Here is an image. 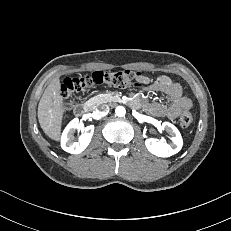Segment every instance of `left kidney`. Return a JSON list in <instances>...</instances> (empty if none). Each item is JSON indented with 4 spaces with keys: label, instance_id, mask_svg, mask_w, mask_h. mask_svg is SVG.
<instances>
[{
    "label": "left kidney",
    "instance_id": "1",
    "mask_svg": "<svg viewBox=\"0 0 231 231\" xmlns=\"http://www.w3.org/2000/svg\"><path fill=\"white\" fill-rule=\"evenodd\" d=\"M171 136V143L158 142L154 138H147L145 145L148 151L158 157H170L178 153L183 145V140L178 129L169 122H163L161 126Z\"/></svg>",
    "mask_w": 231,
    "mask_h": 231
}]
</instances>
